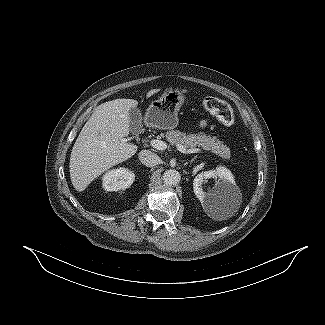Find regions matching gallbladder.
<instances>
[{
    "mask_svg": "<svg viewBox=\"0 0 325 325\" xmlns=\"http://www.w3.org/2000/svg\"><path fill=\"white\" fill-rule=\"evenodd\" d=\"M130 131L137 135L141 130L142 115L139 109L131 108L129 111Z\"/></svg>",
    "mask_w": 325,
    "mask_h": 325,
    "instance_id": "obj_1",
    "label": "gallbladder"
}]
</instances>
